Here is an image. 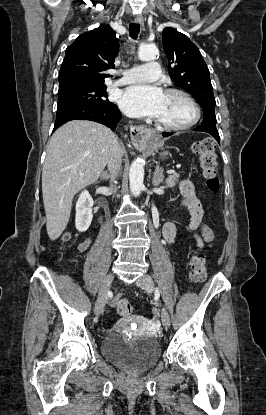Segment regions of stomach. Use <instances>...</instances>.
I'll list each match as a JSON object with an SVG mask.
<instances>
[{
    "label": "stomach",
    "mask_w": 266,
    "mask_h": 415,
    "mask_svg": "<svg viewBox=\"0 0 266 415\" xmlns=\"http://www.w3.org/2000/svg\"><path fill=\"white\" fill-rule=\"evenodd\" d=\"M150 144H151L150 139H146V140H145L142 144L137 145V148H138V149H140V150H143V149L148 148V147L150 146ZM166 155H168V153H167V152H164V153L162 154V156H163V157H164V156H166Z\"/></svg>",
    "instance_id": "stomach-1"
}]
</instances>
